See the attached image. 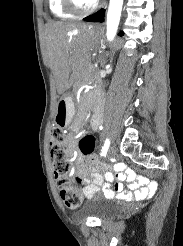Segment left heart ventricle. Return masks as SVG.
I'll return each mask as SVG.
<instances>
[{
	"label": "left heart ventricle",
	"instance_id": "b2bd125f",
	"mask_svg": "<svg viewBox=\"0 0 183 246\" xmlns=\"http://www.w3.org/2000/svg\"><path fill=\"white\" fill-rule=\"evenodd\" d=\"M95 0H77L80 6L87 7L91 5Z\"/></svg>",
	"mask_w": 183,
	"mask_h": 246
}]
</instances>
